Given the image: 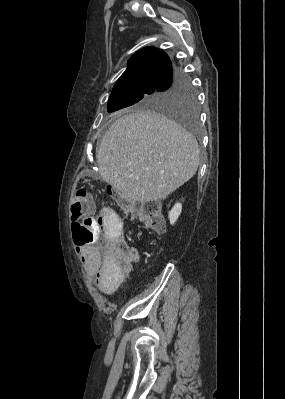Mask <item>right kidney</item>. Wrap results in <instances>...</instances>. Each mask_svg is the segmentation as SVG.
Here are the masks:
<instances>
[{"label": "right kidney", "mask_w": 285, "mask_h": 399, "mask_svg": "<svg viewBox=\"0 0 285 399\" xmlns=\"http://www.w3.org/2000/svg\"><path fill=\"white\" fill-rule=\"evenodd\" d=\"M181 211H182V204L181 203H176L172 207V209L169 211L168 218L170 220V224L171 225H173L177 221L179 215L181 214Z\"/></svg>", "instance_id": "1"}]
</instances>
